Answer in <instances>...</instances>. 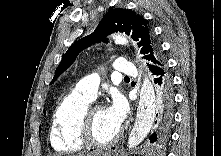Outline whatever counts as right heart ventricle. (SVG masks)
<instances>
[{
  "label": "right heart ventricle",
  "mask_w": 221,
  "mask_h": 156,
  "mask_svg": "<svg viewBox=\"0 0 221 156\" xmlns=\"http://www.w3.org/2000/svg\"><path fill=\"white\" fill-rule=\"evenodd\" d=\"M92 101L76 89L66 95L54 111L50 128V142L59 153H74L84 144L78 137L81 116Z\"/></svg>",
  "instance_id": "e07e8e85"
}]
</instances>
